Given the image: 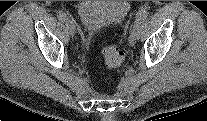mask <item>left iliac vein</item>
Returning <instances> with one entry per match:
<instances>
[{
	"label": "left iliac vein",
	"instance_id": "1",
	"mask_svg": "<svg viewBox=\"0 0 207 121\" xmlns=\"http://www.w3.org/2000/svg\"><path fill=\"white\" fill-rule=\"evenodd\" d=\"M140 32H141L140 24H137L132 28L130 36L128 38V42L130 45H134L135 42L139 39Z\"/></svg>",
	"mask_w": 207,
	"mask_h": 121
}]
</instances>
